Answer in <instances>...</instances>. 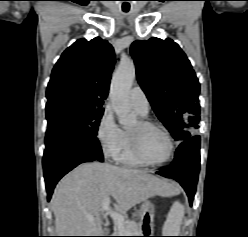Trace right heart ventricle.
Wrapping results in <instances>:
<instances>
[{
  "instance_id": "e07e8e85",
  "label": "right heart ventricle",
  "mask_w": 248,
  "mask_h": 237,
  "mask_svg": "<svg viewBox=\"0 0 248 237\" xmlns=\"http://www.w3.org/2000/svg\"><path fill=\"white\" fill-rule=\"evenodd\" d=\"M138 113L142 116H145V114H142L138 111ZM123 138H122V145L119 153L116 155L115 160L118 163L128 165V166H143L144 164L140 162L133 154L129 136H128V130H123Z\"/></svg>"
}]
</instances>
